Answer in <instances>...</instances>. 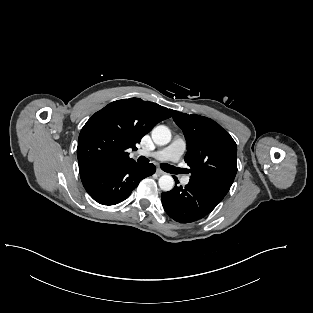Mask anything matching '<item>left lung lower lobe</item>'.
<instances>
[{
	"label": "left lung lower lobe",
	"mask_w": 313,
	"mask_h": 313,
	"mask_svg": "<svg viewBox=\"0 0 313 313\" xmlns=\"http://www.w3.org/2000/svg\"><path fill=\"white\" fill-rule=\"evenodd\" d=\"M176 184L178 180L174 177ZM224 195L211 189L188 183L162 193V204L166 213L175 221L190 223L208 215Z\"/></svg>",
	"instance_id": "left-lung-lower-lobe-1"
}]
</instances>
